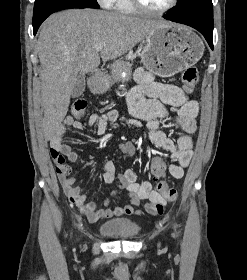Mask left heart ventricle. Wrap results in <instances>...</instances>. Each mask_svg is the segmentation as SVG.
Returning a JSON list of instances; mask_svg holds the SVG:
<instances>
[{
	"instance_id": "obj_1",
	"label": "left heart ventricle",
	"mask_w": 247,
	"mask_h": 280,
	"mask_svg": "<svg viewBox=\"0 0 247 280\" xmlns=\"http://www.w3.org/2000/svg\"><path fill=\"white\" fill-rule=\"evenodd\" d=\"M142 3L151 9H160L167 6L171 0H141Z\"/></svg>"
}]
</instances>
